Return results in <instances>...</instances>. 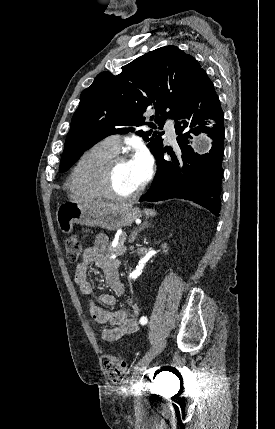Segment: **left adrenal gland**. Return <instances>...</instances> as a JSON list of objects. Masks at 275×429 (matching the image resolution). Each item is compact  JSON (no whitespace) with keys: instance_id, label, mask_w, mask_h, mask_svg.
Returning a JSON list of instances; mask_svg holds the SVG:
<instances>
[{"instance_id":"obj_1","label":"left adrenal gland","mask_w":275,"mask_h":429,"mask_svg":"<svg viewBox=\"0 0 275 429\" xmlns=\"http://www.w3.org/2000/svg\"><path fill=\"white\" fill-rule=\"evenodd\" d=\"M151 224L146 220V221H144L143 222V224L138 228V229H135L132 233H131V235H130V238H129V243H133L134 241H135V239H136V237H137V235H138V233L139 232H141L142 230H144L145 228H148L149 226H150Z\"/></svg>"}]
</instances>
